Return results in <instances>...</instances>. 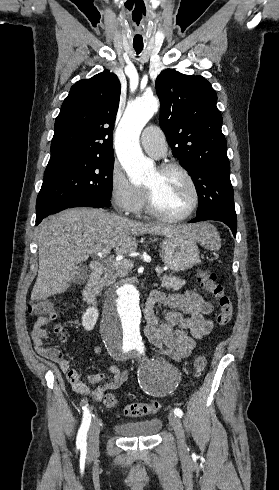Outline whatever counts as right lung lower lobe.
Here are the masks:
<instances>
[{
	"label": "right lung lower lobe",
	"instance_id": "right-lung-lower-lobe-1",
	"mask_svg": "<svg viewBox=\"0 0 279 490\" xmlns=\"http://www.w3.org/2000/svg\"><path fill=\"white\" fill-rule=\"evenodd\" d=\"M72 207L102 208V207H106V205L88 197H74V198H67L63 200H56L50 202L42 213L36 214V225H38L42 221V219L47 217L48 215Z\"/></svg>",
	"mask_w": 279,
	"mask_h": 490
}]
</instances>
